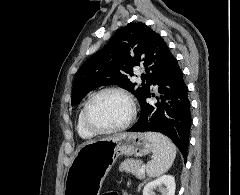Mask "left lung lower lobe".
I'll return each mask as SVG.
<instances>
[{
  "label": "left lung lower lobe",
  "instance_id": "obj_1",
  "mask_svg": "<svg viewBox=\"0 0 240 195\" xmlns=\"http://www.w3.org/2000/svg\"><path fill=\"white\" fill-rule=\"evenodd\" d=\"M152 84L158 85L160 95L155 97L150 89L147 97L158 101L150 104L145 99L139 120L127 131L160 132L174 142L186 160L192 123L190 101L182 70L173 55Z\"/></svg>",
  "mask_w": 240,
  "mask_h": 195
}]
</instances>
